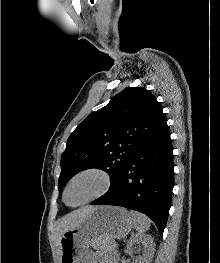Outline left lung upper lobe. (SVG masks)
Segmentation results:
<instances>
[{
	"label": "left lung upper lobe",
	"mask_w": 220,
	"mask_h": 263,
	"mask_svg": "<svg viewBox=\"0 0 220 263\" xmlns=\"http://www.w3.org/2000/svg\"><path fill=\"white\" fill-rule=\"evenodd\" d=\"M165 119L149 90L125 88L105 107L89 114L69 136L61 157L59 190L88 168L106 171L112 186L136 147Z\"/></svg>",
	"instance_id": "left-lung-upper-lobe-1"
}]
</instances>
